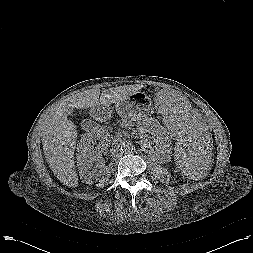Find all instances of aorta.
<instances>
[{
	"label": "aorta",
	"instance_id": "obj_1",
	"mask_svg": "<svg viewBox=\"0 0 253 253\" xmlns=\"http://www.w3.org/2000/svg\"><path fill=\"white\" fill-rule=\"evenodd\" d=\"M120 149L123 153H129L133 150V145L130 141H123Z\"/></svg>",
	"mask_w": 253,
	"mask_h": 253
}]
</instances>
